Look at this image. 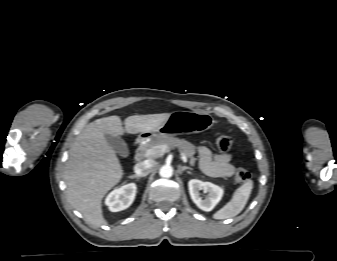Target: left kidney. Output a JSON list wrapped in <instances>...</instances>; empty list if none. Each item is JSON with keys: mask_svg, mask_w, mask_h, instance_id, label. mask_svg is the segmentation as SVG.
Here are the masks:
<instances>
[{"mask_svg": "<svg viewBox=\"0 0 337 261\" xmlns=\"http://www.w3.org/2000/svg\"><path fill=\"white\" fill-rule=\"evenodd\" d=\"M189 193L193 202L203 211H211L223 196V189L211 182L192 179L188 182ZM208 193L206 199L200 197L199 191Z\"/></svg>", "mask_w": 337, "mask_h": 261, "instance_id": "1", "label": "left kidney"}]
</instances>
